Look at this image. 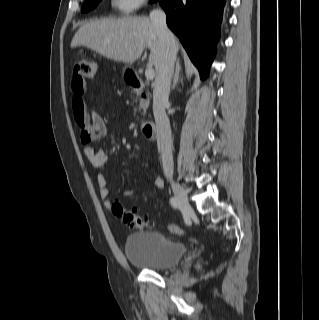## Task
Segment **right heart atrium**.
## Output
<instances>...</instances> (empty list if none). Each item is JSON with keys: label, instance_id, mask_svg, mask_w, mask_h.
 I'll use <instances>...</instances> for the list:
<instances>
[{"label": "right heart atrium", "instance_id": "d8ad5b80", "mask_svg": "<svg viewBox=\"0 0 319 320\" xmlns=\"http://www.w3.org/2000/svg\"><path fill=\"white\" fill-rule=\"evenodd\" d=\"M146 0H112L113 6L123 13H132L141 7Z\"/></svg>", "mask_w": 319, "mask_h": 320}]
</instances>
